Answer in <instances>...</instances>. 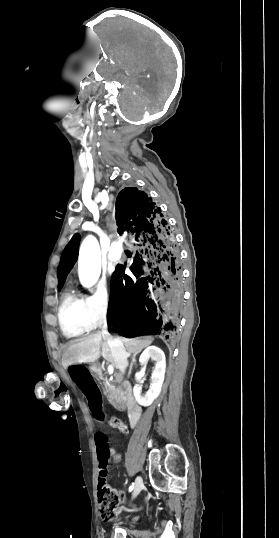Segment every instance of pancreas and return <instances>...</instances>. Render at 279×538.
Returning a JSON list of instances; mask_svg holds the SVG:
<instances>
[{"label": "pancreas", "instance_id": "pancreas-1", "mask_svg": "<svg viewBox=\"0 0 279 538\" xmlns=\"http://www.w3.org/2000/svg\"><path fill=\"white\" fill-rule=\"evenodd\" d=\"M103 390H104V394L108 402H110L112 406H116L117 402H119L121 398V394L119 390H116L115 386H111V384H108V386H105Z\"/></svg>", "mask_w": 279, "mask_h": 538}]
</instances>
